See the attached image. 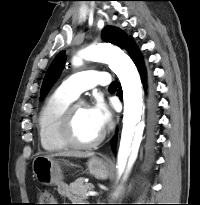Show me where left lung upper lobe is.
<instances>
[{
  "instance_id": "1",
  "label": "left lung upper lobe",
  "mask_w": 200,
  "mask_h": 205,
  "mask_svg": "<svg viewBox=\"0 0 200 205\" xmlns=\"http://www.w3.org/2000/svg\"><path fill=\"white\" fill-rule=\"evenodd\" d=\"M102 38L107 42L119 46L120 48H125L129 40L131 39V37H127L125 33H123L121 30L114 27L104 28L102 31ZM64 63H65V53L64 51H62L52 61L45 75L41 87L40 99H43L47 95V93L49 92L53 84L57 81V79L61 74V71L63 70Z\"/></svg>"
}]
</instances>
